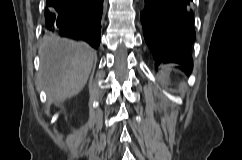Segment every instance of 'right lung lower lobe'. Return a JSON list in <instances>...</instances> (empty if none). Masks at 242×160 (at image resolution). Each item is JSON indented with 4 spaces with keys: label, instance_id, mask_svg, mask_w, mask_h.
<instances>
[{
    "label": "right lung lower lobe",
    "instance_id": "1",
    "mask_svg": "<svg viewBox=\"0 0 242 160\" xmlns=\"http://www.w3.org/2000/svg\"><path fill=\"white\" fill-rule=\"evenodd\" d=\"M103 0H46L45 33L100 44Z\"/></svg>",
    "mask_w": 242,
    "mask_h": 160
}]
</instances>
